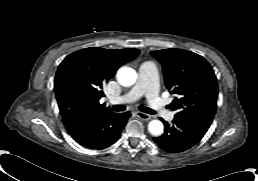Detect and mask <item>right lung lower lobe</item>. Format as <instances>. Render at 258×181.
<instances>
[{"label":"right lung lower lobe","instance_id":"obj_1","mask_svg":"<svg viewBox=\"0 0 258 181\" xmlns=\"http://www.w3.org/2000/svg\"><path fill=\"white\" fill-rule=\"evenodd\" d=\"M130 115L129 112L83 111L64 118L63 123L77 143L102 150L116 142Z\"/></svg>","mask_w":258,"mask_h":181}]
</instances>
